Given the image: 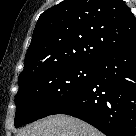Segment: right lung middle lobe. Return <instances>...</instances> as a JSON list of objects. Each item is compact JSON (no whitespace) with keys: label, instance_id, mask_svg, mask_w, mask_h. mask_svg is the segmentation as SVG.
<instances>
[{"label":"right lung middle lobe","instance_id":"right-lung-middle-lobe-1","mask_svg":"<svg viewBox=\"0 0 136 136\" xmlns=\"http://www.w3.org/2000/svg\"><path fill=\"white\" fill-rule=\"evenodd\" d=\"M95 64L73 63L42 70L19 83L15 127L51 115L92 81Z\"/></svg>","mask_w":136,"mask_h":136}]
</instances>
